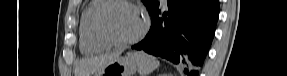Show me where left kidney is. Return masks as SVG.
<instances>
[{"mask_svg": "<svg viewBox=\"0 0 287 76\" xmlns=\"http://www.w3.org/2000/svg\"><path fill=\"white\" fill-rule=\"evenodd\" d=\"M161 76H168L167 74H162Z\"/></svg>", "mask_w": 287, "mask_h": 76, "instance_id": "5707ae66", "label": "left kidney"}]
</instances>
